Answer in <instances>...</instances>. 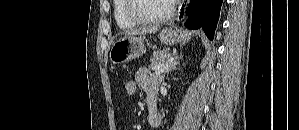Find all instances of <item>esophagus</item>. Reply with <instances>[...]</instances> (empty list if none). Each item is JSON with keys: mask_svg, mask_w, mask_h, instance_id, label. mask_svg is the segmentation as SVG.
Returning a JSON list of instances; mask_svg holds the SVG:
<instances>
[{"mask_svg": "<svg viewBox=\"0 0 299 130\" xmlns=\"http://www.w3.org/2000/svg\"><path fill=\"white\" fill-rule=\"evenodd\" d=\"M188 2L189 1H183L180 8H179V11H178V15H177V18H176V21L177 22H181L183 21V19L185 18V11H186V7L188 5Z\"/></svg>", "mask_w": 299, "mask_h": 130, "instance_id": "esophagus-1", "label": "esophagus"}]
</instances>
